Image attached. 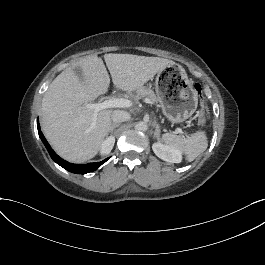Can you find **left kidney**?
I'll return each instance as SVG.
<instances>
[{"label": "left kidney", "mask_w": 265, "mask_h": 265, "mask_svg": "<svg viewBox=\"0 0 265 265\" xmlns=\"http://www.w3.org/2000/svg\"><path fill=\"white\" fill-rule=\"evenodd\" d=\"M152 149L156 156L164 161L180 163L182 160L181 151L174 146L163 145L161 142H156L152 145Z\"/></svg>", "instance_id": "obj_1"}]
</instances>
